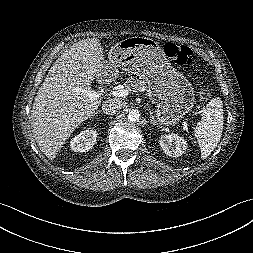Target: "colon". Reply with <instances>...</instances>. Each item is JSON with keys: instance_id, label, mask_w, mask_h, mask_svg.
<instances>
[{"instance_id": "obj_1", "label": "colon", "mask_w": 253, "mask_h": 253, "mask_svg": "<svg viewBox=\"0 0 253 253\" xmlns=\"http://www.w3.org/2000/svg\"><path fill=\"white\" fill-rule=\"evenodd\" d=\"M164 52L165 55L175 64L196 68L192 56V51L189 47L184 45H176L174 43H167L164 47ZM200 96L202 99L206 100L209 98L210 92L206 89H203L200 92Z\"/></svg>"}]
</instances>
